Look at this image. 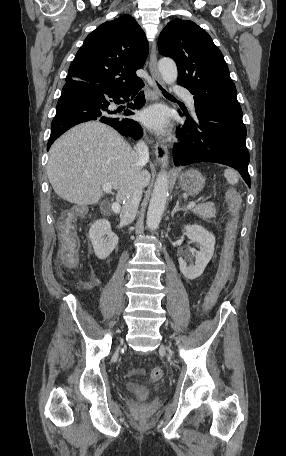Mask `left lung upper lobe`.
I'll return each instance as SVG.
<instances>
[{"mask_svg": "<svg viewBox=\"0 0 286 456\" xmlns=\"http://www.w3.org/2000/svg\"><path fill=\"white\" fill-rule=\"evenodd\" d=\"M158 49L176 62L178 84L194 95L195 105L242 114L224 57L204 29L190 20L174 19L162 30Z\"/></svg>", "mask_w": 286, "mask_h": 456, "instance_id": "5c2ea615", "label": "left lung upper lobe"}]
</instances>
